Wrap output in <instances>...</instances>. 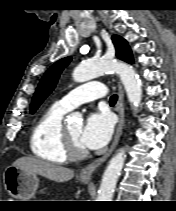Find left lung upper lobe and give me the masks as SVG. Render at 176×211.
<instances>
[{"label":"left lung upper lobe","mask_w":176,"mask_h":211,"mask_svg":"<svg viewBox=\"0 0 176 211\" xmlns=\"http://www.w3.org/2000/svg\"><path fill=\"white\" fill-rule=\"evenodd\" d=\"M112 41L116 48V56L123 61H126L128 63H133L132 53L130 47L128 46L127 41L117 35L112 36ZM70 61L71 57L63 58L58 62H56L55 64H53L46 71L33 96L30 107L31 114H33L37 110V108L43 102V100L52 92L62 70L68 65Z\"/></svg>","instance_id":"left-lung-upper-lobe-1"}]
</instances>
